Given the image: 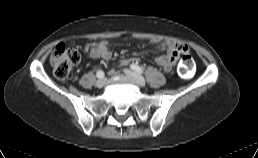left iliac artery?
I'll return each mask as SVG.
<instances>
[{
	"instance_id": "left-iliac-artery-1",
	"label": "left iliac artery",
	"mask_w": 258,
	"mask_h": 158,
	"mask_svg": "<svg viewBox=\"0 0 258 158\" xmlns=\"http://www.w3.org/2000/svg\"><path fill=\"white\" fill-rule=\"evenodd\" d=\"M130 67L137 73L142 74L144 72V70L138 65L132 64Z\"/></svg>"
}]
</instances>
